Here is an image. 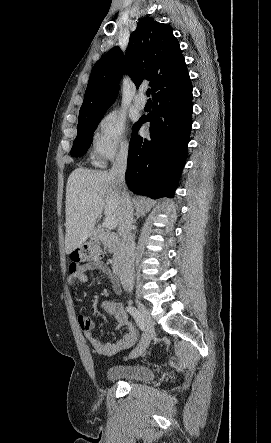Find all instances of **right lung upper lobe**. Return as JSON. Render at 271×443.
I'll list each match as a JSON object with an SVG mask.
<instances>
[{
    "label": "right lung upper lobe",
    "instance_id": "obj_1",
    "mask_svg": "<svg viewBox=\"0 0 271 443\" xmlns=\"http://www.w3.org/2000/svg\"><path fill=\"white\" fill-rule=\"evenodd\" d=\"M124 72L128 73L137 88L144 80H149L152 97L189 78L172 28L153 18H142L130 35L126 55L115 46L92 68L79 119L103 116L116 99Z\"/></svg>",
    "mask_w": 271,
    "mask_h": 443
}]
</instances>
